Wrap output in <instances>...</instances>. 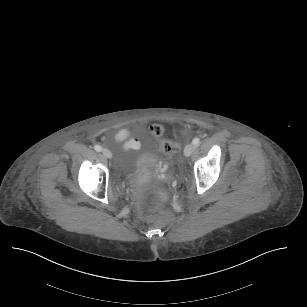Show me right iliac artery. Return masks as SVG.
Here are the masks:
<instances>
[{
  "instance_id": "1",
  "label": "right iliac artery",
  "mask_w": 307,
  "mask_h": 307,
  "mask_svg": "<svg viewBox=\"0 0 307 307\" xmlns=\"http://www.w3.org/2000/svg\"><path fill=\"white\" fill-rule=\"evenodd\" d=\"M94 149H95L97 152H101V151H102V147H101L100 145L94 146Z\"/></svg>"
}]
</instances>
